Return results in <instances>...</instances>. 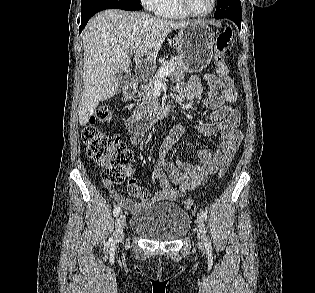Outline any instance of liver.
I'll return each instance as SVG.
<instances>
[{"mask_svg":"<svg viewBox=\"0 0 315 293\" xmlns=\"http://www.w3.org/2000/svg\"><path fill=\"white\" fill-rule=\"evenodd\" d=\"M190 23L117 9L105 10L93 17L82 36L84 65L80 125L88 123L99 102L115 95L123 73L128 72L132 50H136L135 60L145 54L147 61H153L167 35Z\"/></svg>","mask_w":315,"mask_h":293,"instance_id":"6515ba94","label":"liver"}]
</instances>
